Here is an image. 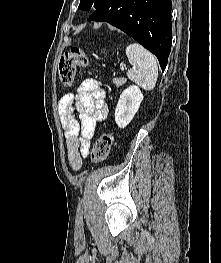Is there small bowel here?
<instances>
[{
    "label": "small bowel",
    "instance_id": "1",
    "mask_svg": "<svg viewBox=\"0 0 221 263\" xmlns=\"http://www.w3.org/2000/svg\"><path fill=\"white\" fill-rule=\"evenodd\" d=\"M107 112L105 91L94 79L84 80L75 93L65 94L59 100L68 165L73 171H78L88 156L96 124L106 118Z\"/></svg>",
    "mask_w": 221,
    "mask_h": 263
}]
</instances>
